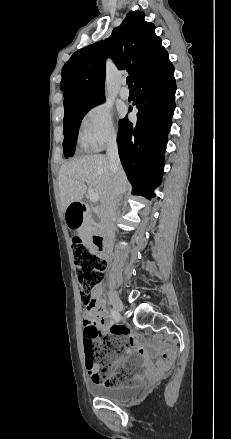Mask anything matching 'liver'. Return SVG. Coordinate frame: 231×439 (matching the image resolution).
<instances>
[{"instance_id": "liver-1", "label": "liver", "mask_w": 231, "mask_h": 439, "mask_svg": "<svg viewBox=\"0 0 231 439\" xmlns=\"http://www.w3.org/2000/svg\"><path fill=\"white\" fill-rule=\"evenodd\" d=\"M113 173L109 159L104 155H87L62 165L59 172V190L62 208L65 211L73 202H80L87 185L99 194L100 202L112 186ZM129 187L121 168L116 181L117 195L124 194Z\"/></svg>"}]
</instances>
